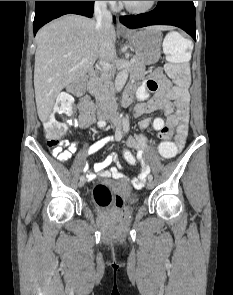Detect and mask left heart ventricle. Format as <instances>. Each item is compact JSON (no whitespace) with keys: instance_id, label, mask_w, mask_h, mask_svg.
<instances>
[{"instance_id":"left-heart-ventricle-1","label":"left heart ventricle","mask_w":233,"mask_h":295,"mask_svg":"<svg viewBox=\"0 0 233 295\" xmlns=\"http://www.w3.org/2000/svg\"><path fill=\"white\" fill-rule=\"evenodd\" d=\"M125 2L133 8H142L148 5L150 1H125Z\"/></svg>"}]
</instances>
